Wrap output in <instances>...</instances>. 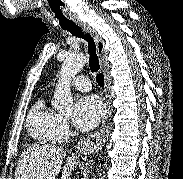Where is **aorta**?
I'll return each mask as SVG.
<instances>
[{
	"label": "aorta",
	"mask_w": 183,
	"mask_h": 179,
	"mask_svg": "<svg viewBox=\"0 0 183 179\" xmlns=\"http://www.w3.org/2000/svg\"><path fill=\"white\" fill-rule=\"evenodd\" d=\"M86 61V56L82 53L70 55L64 60L52 100L54 109L60 112H70L73 109L71 80L83 68Z\"/></svg>",
	"instance_id": "obj_1"
}]
</instances>
